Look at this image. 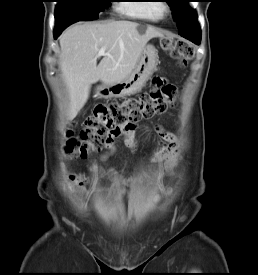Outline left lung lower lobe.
Segmentation results:
<instances>
[{
	"instance_id": "0a47b994",
	"label": "left lung lower lobe",
	"mask_w": 258,
	"mask_h": 275,
	"mask_svg": "<svg viewBox=\"0 0 258 275\" xmlns=\"http://www.w3.org/2000/svg\"><path fill=\"white\" fill-rule=\"evenodd\" d=\"M179 35L199 45L201 41V29L199 24L189 26L183 31L179 32Z\"/></svg>"
}]
</instances>
